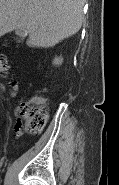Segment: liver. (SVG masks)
I'll return each instance as SVG.
<instances>
[{
  "label": "liver",
  "mask_w": 119,
  "mask_h": 185,
  "mask_svg": "<svg viewBox=\"0 0 119 185\" xmlns=\"http://www.w3.org/2000/svg\"><path fill=\"white\" fill-rule=\"evenodd\" d=\"M85 0H0V36L22 29L30 47H53L76 34Z\"/></svg>",
  "instance_id": "liver-1"
}]
</instances>
